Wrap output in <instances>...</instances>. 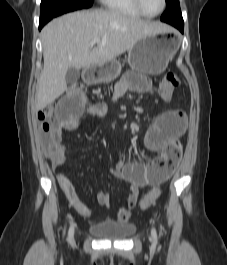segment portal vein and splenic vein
I'll return each instance as SVG.
<instances>
[{
    "label": "portal vein and splenic vein",
    "instance_id": "1",
    "mask_svg": "<svg viewBox=\"0 0 227 265\" xmlns=\"http://www.w3.org/2000/svg\"><path fill=\"white\" fill-rule=\"evenodd\" d=\"M99 43H100V39H98V38H94L90 42L91 45H95V44H99Z\"/></svg>",
    "mask_w": 227,
    "mask_h": 265
}]
</instances>
